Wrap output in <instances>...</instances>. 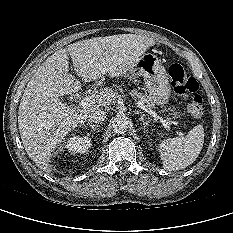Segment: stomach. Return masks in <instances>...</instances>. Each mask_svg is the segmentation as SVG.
Listing matches in <instances>:
<instances>
[{"instance_id":"1","label":"stomach","mask_w":233,"mask_h":233,"mask_svg":"<svg viewBox=\"0 0 233 233\" xmlns=\"http://www.w3.org/2000/svg\"><path fill=\"white\" fill-rule=\"evenodd\" d=\"M125 76L129 79L142 76L151 101L161 107L168 103L171 85L168 74L156 55L142 54Z\"/></svg>"}]
</instances>
